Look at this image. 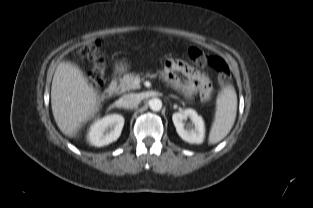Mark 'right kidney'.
<instances>
[{
    "mask_svg": "<svg viewBox=\"0 0 313 208\" xmlns=\"http://www.w3.org/2000/svg\"><path fill=\"white\" fill-rule=\"evenodd\" d=\"M124 118L119 114H112L95 121L88 132L89 143L102 147L116 141L123 129Z\"/></svg>",
    "mask_w": 313,
    "mask_h": 208,
    "instance_id": "1",
    "label": "right kidney"
}]
</instances>
